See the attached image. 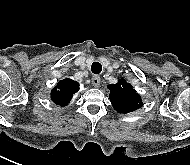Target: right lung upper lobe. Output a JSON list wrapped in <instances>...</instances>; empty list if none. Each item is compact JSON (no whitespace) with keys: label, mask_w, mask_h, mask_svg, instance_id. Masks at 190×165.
<instances>
[{"label":"right lung upper lobe","mask_w":190,"mask_h":165,"mask_svg":"<svg viewBox=\"0 0 190 165\" xmlns=\"http://www.w3.org/2000/svg\"><path fill=\"white\" fill-rule=\"evenodd\" d=\"M78 90L79 83L67 78L59 81L56 87L53 88L51 91V99L60 106H66L73 97V94Z\"/></svg>","instance_id":"1"}]
</instances>
